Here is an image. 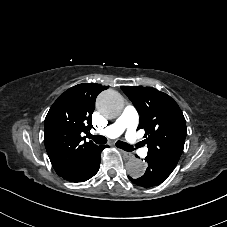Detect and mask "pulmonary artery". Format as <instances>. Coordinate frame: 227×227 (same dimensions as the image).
Returning <instances> with one entry per match:
<instances>
[{
  "instance_id": "1",
  "label": "pulmonary artery",
  "mask_w": 227,
  "mask_h": 227,
  "mask_svg": "<svg viewBox=\"0 0 227 227\" xmlns=\"http://www.w3.org/2000/svg\"><path fill=\"white\" fill-rule=\"evenodd\" d=\"M138 120L139 113L137 109L131 105L127 106L117 119L115 125L120 127L122 131H125L124 139L126 142H130L133 139L132 128L137 124ZM113 131V126L107 124L96 128L94 134L98 138H103L112 134Z\"/></svg>"
}]
</instances>
